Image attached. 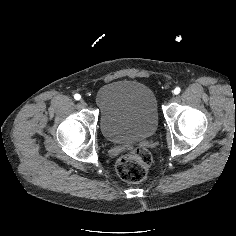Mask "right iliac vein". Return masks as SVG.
<instances>
[{
    "label": "right iliac vein",
    "instance_id": "63e3f726",
    "mask_svg": "<svg viewBox=\"0 0 236 236\" xmlns=\"http://www.w3.org/2000/svg\"><path fill=\"white\" fill-rule=\"evenodd\" d=\"M80 104H81L82 106H85V105H86V103H85V101H84L83 99L80 100Z\"/></svg>",
    "mask_w": 236,
    "mask_h": 236
}]
</instances>
